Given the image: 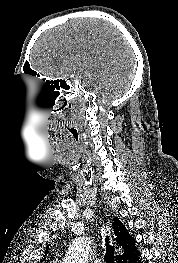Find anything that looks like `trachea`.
<instances>
[{"label": "trachea", "mask_w": 178, "mask_h": 263, "mask_svg": "<svg viewBox=\"0 0 178 263\" xmlns=\"http://www.w3.org/2000/svg\"><path fill=\"white\" fill-rule=\"evenodd\" d=\"M109 236L105 238V246H106V253H105V261L106 263H114V247L110 245Z\"/></svg>", "instance_id": "trachea-1"}]
</instances>
